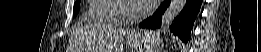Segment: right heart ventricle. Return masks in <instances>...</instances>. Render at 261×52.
<instances>
[{
  "label": "right heart ventricle",
  "instance_id": "right-heart-ventricle-1",
  "mask_svg": "<svg viewBox=\"0 0 261 52\" xmlns=\"http://www.w3.org/2000/svg\"><path fill=\"white\" fill-rule=\"evenodd\" d=\"M119 2L115 0H92L88 8V18L92 22L106 24H121V18L116 15Z\"/></svg>",
  "mask_w": 261,
  "mask_h": 52
}]
</instances>
